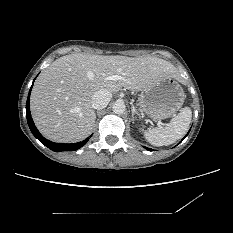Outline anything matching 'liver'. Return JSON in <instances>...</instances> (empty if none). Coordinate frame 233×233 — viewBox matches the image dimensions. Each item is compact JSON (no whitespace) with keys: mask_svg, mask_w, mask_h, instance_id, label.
<instances>
[{"mask_svg":"<svg viewBox=\"0 0 233 233\" xmlns=\"http://www.w3.org/2000/svg\"><path fill=\"white\" fill-rule=\"evenodd\" d=\"M117 74L121 80H106ZM168 78L179 79L177 68L157 57L69 54L56 59L36 80L31 114L47 139L78 142L94 128L96 114L91 100L95 92L116 93L122 87L144 91Z\"/></svg>","mask_w":233,"mask_h":233,"instance_id":"obj_1","label":"liver"}]
</instances>
